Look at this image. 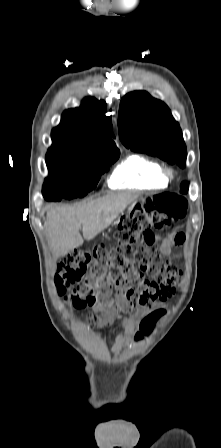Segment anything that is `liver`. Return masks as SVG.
Segmentation results:
<instances>
[{
	"label": "liver",
	"mask_w": 221,
	"mask_h": 448,
	"mask_svg": "<svg viewBox=\"0 0 221 448\" xmlns=\"http://www.w3.org/2000/svg\"><path fill=\"white\" fill-rule=\"evenodd\" d=\"M137 198L132 193L111 194L75 207L51 208L45 227L53 256H64L81 246L84 239L95 238ZM81 227L83 237L79 233Z\"/></svg>",
	"instance_id": "6515ba94"
}]
</instances>
